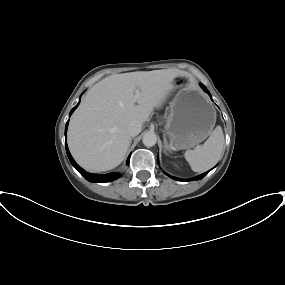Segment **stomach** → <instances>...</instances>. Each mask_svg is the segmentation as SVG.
<instances>
[{
	"label": "stomach",
	"instance_id": "stomach-1",
	"mask_svg": "<svg viewBox=\"0 0 285 285\" xmlns=\"http://www.w3.org/2000/svg\"><path fill=\"white\" fill-rule=\"evenodd\" d=\"M174 88L178 92L170 103L165 133L171 149H190L211 134L216 111L204 93L189 86L187 78L177 77Z\"/></svg>",
	"mask_w": 285,
	"mask_h": 285
}]
</instances>
